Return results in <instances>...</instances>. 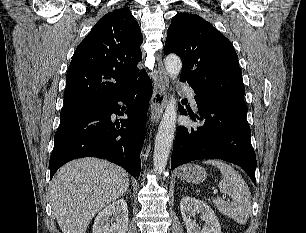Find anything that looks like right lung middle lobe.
Returning <instances> with one entry per match:
<instances>
[{
  "instance_id": "dd1d6c3e",
  "label": "right lung middle lobe",
  "mask_w": 306,
  "mask_h": 233,
  "mask_svg": "<svg viewBox=\"0 0 306 233\" xmlns=\"http://www.w3.org/2000/svg\"><path fill=\"white\" fill-rule=\"evenodd\" d=\"M97 104H78V105H72V106H66L63 107L60 113V116L75 112V111H79L82 109H85L87 107H91Z\"/></svg>"
}]
</instances>
